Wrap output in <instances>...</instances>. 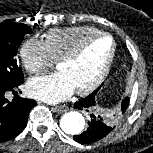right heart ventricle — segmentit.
Here are the masks:
<instances>
[{"instance_id": "obj_1", "label": "right heart ventricle", "mask_w": 153, "mask_h": 153, "mask_svg": "<svg viewBox=\"0 0 153 153\" xmlns=\"http://www.w3.org/2000/svg\"><path fill=\"white\" fill-rule=\"evenodd\" d=\"M101 33L91 26H74L53 29L44 35L46 44L53 60H59L74 50L86 38Z\"/></svg>"}]
</instances>
